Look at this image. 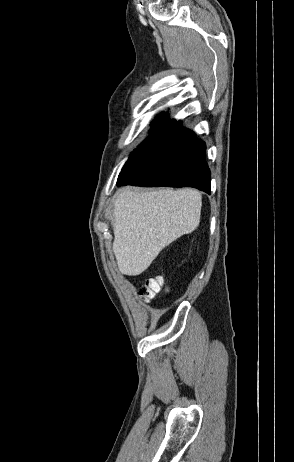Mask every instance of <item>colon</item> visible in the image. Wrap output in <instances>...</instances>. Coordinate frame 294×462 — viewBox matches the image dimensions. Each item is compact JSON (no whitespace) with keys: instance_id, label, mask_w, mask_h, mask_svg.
<instances>
[{"instance_id":"obj_1","label":"colon","mask_w":294,"mask_h":462,"mask_svg":"<svg viewBox=\"0 0 294 462\" xmlns=\"http://www.w3.org/2000/svg\"><path fill=\"white\" fill-rule=\"evenodd\" d=\"M164 284L162 274L156 275L148 279L140 289V297L146 301H150L157 296Z\"/></svg>"}]
</instances>
